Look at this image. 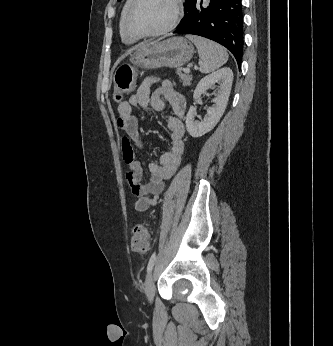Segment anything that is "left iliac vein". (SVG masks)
Instances as JSON below:
<instances>
[{
	"instance_id": "obj_1",
	"label": "left iliac vein",
	"mask_w": 333,
	"mask_h": 346,
	"mask_svg": "<svg viewBox=\"0 0 333 346\" xmlns=\"http://www.w3.org/2000/svg\"><path fill=\"white\" fill-rule=\"evenodd\" d=\"M155 272H156V269L150 272L145 283V294L149 303L153 302L154 295H155V281H154Z\"/></svg>"
}]
</instances>
